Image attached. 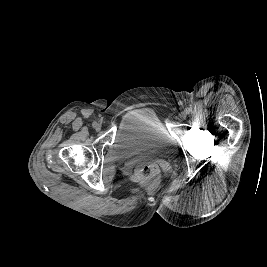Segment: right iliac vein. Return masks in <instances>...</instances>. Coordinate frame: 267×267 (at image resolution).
I'll return each instance as SVG.
<instances>
[{
	"label": "right iliac vein",
	"instance_id": "1",
	"mask_svg": "<svg viewBox=\"0 0 267 267\" xmlns=\"http://www.w3.org/2000/svg\"><path fill=\"white\" fill-rule=\"evenodd\" d=\"M95 129H96V131H100V129H101V125H100V124H97V125L95 126Z\"/></svg>",
	"mask_w": 267,
	"mask_h": 267
}]
</instances>
